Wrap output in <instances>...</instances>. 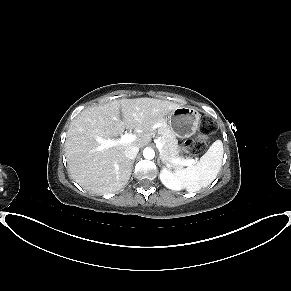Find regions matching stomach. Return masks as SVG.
<instances>
[{"mask_svg": "<svg viewBox=\"0 0 291 291\" xmlns=\"http://www.w3.org/2000/svg\"><path fill=\"white\" fill-rule=\"evenodd\" d=\"M168 119L175 137L186 138L196 133L201 115L194 108L181 106L172 111Z\"/></svg>", "mask_w": 291, "mask_h": 291, "instance_id": "obj_1", "label": "stomach"}]
</instances>
